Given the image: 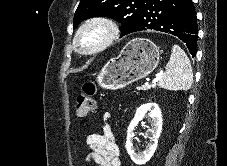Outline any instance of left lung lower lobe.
Returning <instances> with one entry per match:
<instances>
[{"label":"left lung lower lobe","instance_id":"obj_1","mask_svg":"<svg viewBox=\"0 0 227 166\" xmlns=\"http://www.w3.org/2000/svg\"><path fill=\"white\" fill-rule=\"evenodd\" d=\"M145 30L177 36L196 55L198 27L192 0H147L134 32Z\"/></svg>","mask_w":227,"mask_h":166}]
</instances>
